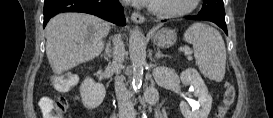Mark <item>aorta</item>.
<instances>
[{
	"instance_id": "1",
	"label": "aorta",
	"mask_w": 273,
	"mask_h": 118,
	"mask_svg": "<svg viewBox=\"0 0 273 118\" xmlns=\"http://www.w3.org/2000/svg\"><path fill=\"white\" fill-rule=\"evenodd\" d=\"M130 55L133 67V86L134 89H138L142 84L143 69L146 65V43L138 27H135L131 35Z\"/></svg>"
}]
</instances>
